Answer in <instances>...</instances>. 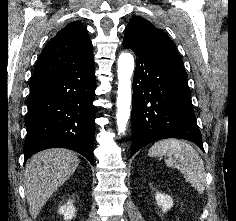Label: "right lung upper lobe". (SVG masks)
<instances>
[{"label": "right lung upper lobe", "mask_w": 236, "mask_h": 221, "mask_svg": "<svg viewBox=\"0 0 236 221\" xmlns=\"http://www.w3.org/2000/svg\"><path fill=\"white\" fill-rule=\"evenodd\" d=\"M91 67L92 43L85 27L74 21L47 43L30 82Z\"/></svg>", "instance_id": "1"}]
</instances>
